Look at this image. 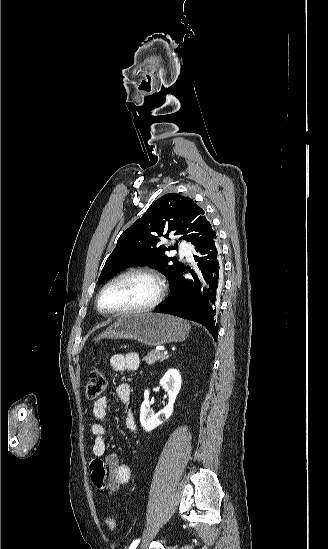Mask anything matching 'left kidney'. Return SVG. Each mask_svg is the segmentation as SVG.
<instances>
[{
  "instance_id": "left-kidney-1",
  "label": "left kidney",
  "mask_w": 328,
  "mask_h": 549,
  "mask_svg": "<svg viewBox=\"0 0 328 549\" xmlns=\"http://www.w3.org/2000/svg\"><path fill=\"white\" fill-rule=\"evenodd\" d=\"M181 383L182 379L179 371L177 369H168L160 381L161 387H163L169 397L168 405L164 409H161V411H158V413H152L149 401L150 391L148 389L145 391L144 401L140 409V423L144 431H153L155 427L162 425L163 421L171 417L176 397L181 389Z\"/></svg>"
}]
</instances>
